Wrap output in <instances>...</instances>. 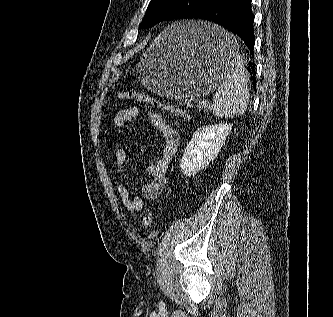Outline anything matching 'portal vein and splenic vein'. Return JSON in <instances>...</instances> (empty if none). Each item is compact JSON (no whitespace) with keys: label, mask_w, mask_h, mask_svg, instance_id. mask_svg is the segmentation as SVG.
<instances>
[{"label":"portal vein and splenic vein","mask_w":333,"mask_h":317,"mask_svg":"<svg viewBox=\"0 0 333 317\" xmlns=\"http://www.w3.org/2000/svg\"><path fill=\"white\" fill-rule=\"evenodd\" d=\"M201 104H203V105H207V104H208V101H207V100H203V101H201ZM187 106H188V107H191L192 104H191L190 102H188V103H187Z\"/></svg>","instance_id":"portal-vein-and-splenic-vein-1"}]
</instances>
